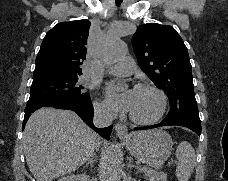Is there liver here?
I'll return each mask as SVG.
<instances>
[{
    "instance_id": "obj_1",
    "label": "liver",
    "mask_w": 228,
    "mask_h": 181,
    "mask_svg": "<svg viewBox=\"0 0 228 181\" xmlns=\"http://www.w3.org/2000/svg\"><path fill=\"white\" fill-rule=\"evenodd\" d=\"M102 143L74 111L44 107L26 123L23 151L36 181H54L77 171Z\"/></svg>"
}]
</instances>
